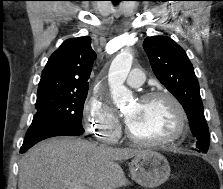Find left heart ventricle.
<instances>
[{"mask_svg":"<svg viewBox=\"0 0 223 189\" xmlns=\"http://www.w3.org/2000/svg\"><path fill=\"white\" fill-rule=\"evenodd\" d=\"M125 116L131 130L144 138L168 136L177 126L174 107L164 98L137 101L128 108Z\"/></svg>","mask_w":223,"mask_h":189,"instance_id":"left-heart-ventricle-1","label":"left heart ventricle"}]
</instances>
